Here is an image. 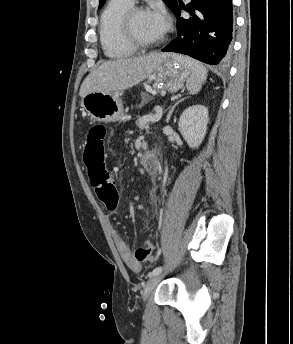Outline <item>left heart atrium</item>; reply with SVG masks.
I'll return each instance as SVG.
<instances>
[{
    "label": "left heart atrium",
    "instance_id": "1",
    "mask_svg": "<svg viewBox=\"0 0 293 344\" xmlns=\"http://www.w3.org/2000/svg\"><path fill=\"white\" fill-rule=\"evenodd\" d=\"M149 16L157 30L161 34H164L167 31L169 25L165 11L161 7H156L153 10L149 11Z\"/></svg>",
    "mask_w": 293,
    "mask_h": 344
}]
</instances>
